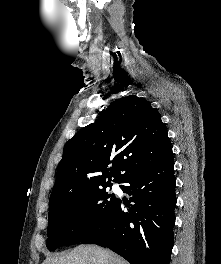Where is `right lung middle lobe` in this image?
<instances>
[{"instance_id":"obj_1","label":"right lung middle lobe","mask_w":221,"mask_h":264,"mask_svg":"<svg viewBox=\"0 0 221 264\" xmlns=\"http://www.w3.org/2000/svg\"><path fill=\"white\" fill-rule=\"evenodd\" d=\"M111 185L109 183L66 196L49 210V250L78 243L89 235L118 201V198L107 190Z\"/></svg>"}]
</instances>
